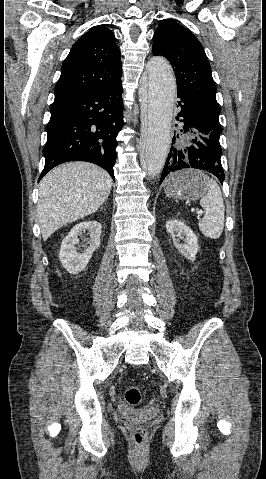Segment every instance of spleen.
Returning a JSON list of instances; mask_svg holds the SVG:
<instances>
[{"instance_id":"obj_1","label":"spleen","mask_w":266,"mask_h":479,"mask_svg":"<svg viewBox=\"0 0 266 479\" xmlns=\"http://www.w3.org/2000/svg\"><path fill=\"white\" fill-rule=\"evenodd\" d=\"M207 178V191L200 200L205 215L199 220L198 225L205 237L218 239L224 229L225 206L220 187L215 180Z\"/></svg>"}]
</instances>
